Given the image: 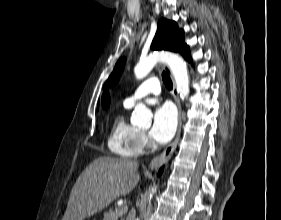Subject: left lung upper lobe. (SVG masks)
Listing matches in <instances>:
<instances>
[{
  "label": "left lung upper lobe",
  "instance_id": "1",
  "mask_svg": "<svg viewBox=\"0 0 281 220\" xmlns=\"http://www.w3.org/2000/svg\"><path fill=\"white\" fill-rule=\"evenodd\" d=\"M151 48L154 50H169L179 52L190 61L189 47L184 43V32L180 30L174 21L161 19L158 22V29L152 41ZM125 59L121 58L115 65L114 70L108 80L105 82L104 88L115 84L122 72Z\"/></svg>",
  "mask_w": 281,
  "mask_h": 220
}]
</instances>
